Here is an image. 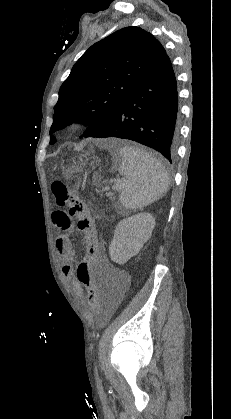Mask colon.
Masks as SVG:
<instances>
[{"instance_id": "obj_1", "label": "colon", "mask_w": 231, "mask_h": 419, "mask_svg": "<svg viewBox=\"0 0 231 419\" xmlns=\"http://www.w3.org/2000/svg\"><path fill=\"white\" fill-rule=\"evenodd\" d=\"M51 189L57 204L61 207H68V213L77 218L78 230L85 233L86 245L77 264L75 279L80 281L81 287L87 293L86 303L91 304L95 312H99L100 302L98 299L102 296V286L96 280L95 274L91 273L92 264L100 256V245L96 239L93 217L85 201L75 192L69 190L65 183L54 181Z\"/></svg>"}]
</instances>
